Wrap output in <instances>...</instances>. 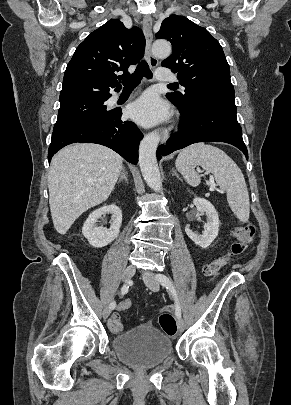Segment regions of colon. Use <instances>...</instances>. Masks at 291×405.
<instances>
[{"label":"colon","mask_w":291,"mask_h":405,"mask_svg":"<svg viewBox=\"0 0 291 405\" xmlns=\"http://www.w3.org/2000/svg\"><path fill=\"white\" fill-rule=\"evenodd\" d=\"M255 234V228L251 224L234 227L232 230V241L228 252L220 258L213 260L206 264L203 268V273L207 277H214L218 272L227 264H229L234 258L242 255L249 244L252 242ZM131 307V300L126 298L122 300L118 305V312H124ZM119 315L115 313L113 316ZM159 324L163 331L174 336L177 332L176 320L172 314L168 312L161 313L159 316Z\"/></svg>","instance_id":"1"}]
</instances>
